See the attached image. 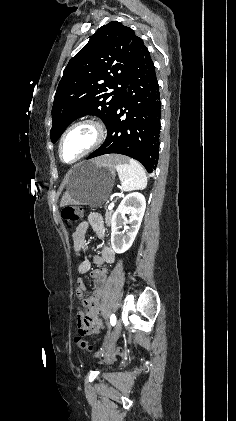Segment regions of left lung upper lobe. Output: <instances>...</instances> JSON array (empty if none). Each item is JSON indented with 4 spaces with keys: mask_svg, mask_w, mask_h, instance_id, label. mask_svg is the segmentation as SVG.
Wrapping results in <instances>:
<instances>
[{
    "mask_svg": "<svg viewBox=\"0 0 236 421\" xmlns=\"http://www.w3.org/2000/svg\"><path fill=\"white\" fill-rule=\"evenodd\" d=\"M141 45L134 31L117 21L91 36L69 61L59 82L52 107L53 142L81 116L96 115L108 123Z\"/></svg>",
    "mask_w": 236,
    "mask_h": 421,
    "instance_id": "obj_1",
    "label": "left lung upper lobe"
}]
</instances>
